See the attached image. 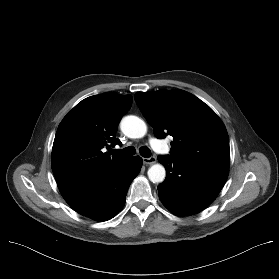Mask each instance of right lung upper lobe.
<instances>
[{
  "label": "right lung upper lobe",
  "instance_id": "cb5924a9",
  "mask_svg": "<svg viewBox=\"0 0 279 279\" xmlns=\"http://www.w3.org/2000/svg\"><path fill=\"white\" fill-rule=\"evenodd\" d=\"M132 104L131 95L102 94L79 102L62 120L55 135L51 166L59 190L99 178L128 158L101 151L121 144L115 138L123 114Z\"/></svg>",
  "mask_w": 279,
  "mask_h": 279
}]
</instances>
